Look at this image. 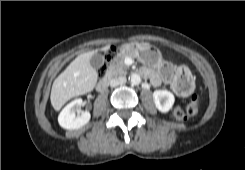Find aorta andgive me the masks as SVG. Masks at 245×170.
Instances as JSON below:
<instances>
[{
	"label": "aorta",
	"instance_id": "762f6f07",
	"mask_svg": "<svg viewBox=\"0 0 245 170\" xmlns=\"http://www.w3.org/2000/svg\"><path fill=\"white\" fill-rule=\"evenodd\" d=\"M130 81L132 84L137 85L141 82V77H140V75L133 73L130 76Z\"/></svg>",
	"mask_w": 245,
	"mask_h": 170
}]
</instances>
